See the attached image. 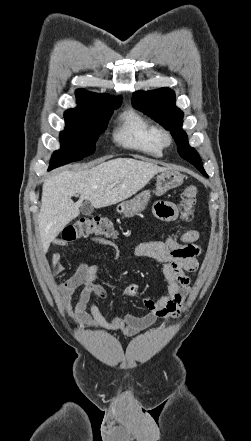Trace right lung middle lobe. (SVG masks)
Here are the masks:
<instances>
[{"instance_id": "right-lung-middle-lobe-1", "label": "right lung middle lobe", "mask_w": 251, "mask_h": 441, "mask_svg": "<svg viewBox=\"0 0 251 441\" xmlns=\"http://www.w3.org/2000/svg\"><path fill=\"white\" fill-rule=\"evenodd\" d=\"M120 105L121 101L90 100L77 112L64 114L66 126L60 133L61 149L52 155L49 170L91 155L113 110Z\"/></svg>"}]
</instances>
